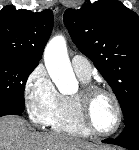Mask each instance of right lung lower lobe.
Here are the masks:
<instances>
[{
	"label": "right lung lower lobe",
	"mask_w": 139,
	"mask_h": 150,
	"mask_svg": "<svg viewBox=\"0 0 139 150\" xmlns=\"http://www.w3.org/2000/svg\"><path fill=\"white\" fill-rule=\"evenodd\" d=\"M5 115H22V112L9 106H0V117Z\"/></svg>",
	"instance_id": "1"
}]
</instances>
